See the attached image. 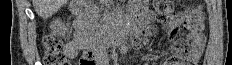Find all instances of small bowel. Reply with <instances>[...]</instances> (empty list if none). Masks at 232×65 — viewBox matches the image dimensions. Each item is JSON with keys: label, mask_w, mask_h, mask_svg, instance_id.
<instances>
[{"label": "small bowel", "mask_w": 232, "mask_h": 65, "mask_svg": "<svg viewBox=\"0 0 232 65\" xmlns=\"http://www.w3.org/2000/svg\"><path fill=\"white\" fill-rule=\"evenodd\" d=\"M142 11V19L145 20L146 25L149 21L154 18V14L152 11L146 9L144 6H140ZM75 33L74 38L66 45L65 53L68 57L74 58L79 50L89 49V38L85 32V30L78 24L76 21L74 23ZM203 25L201 28L193 33H190L188 29V23L186 14L179 13L177 14L167 25L166 30L172 36L175 37L181 33L182 30L188 31V36L191 38V53L187 57L185 62L179 61L177 59H173L169 62H165L161 65H194L197 64L200 55L203 51L205 45V36L202 33ZM154 30L149 29L147 26L146 29H141L140 33H137V40L135 42L136 46H141L145 43V38H149V34H153ZM98 58L99 65H105L107 63V55L105 51L100 54H96Z\"/></svg>", "instance_id": "obj_1"}]
</instances>
